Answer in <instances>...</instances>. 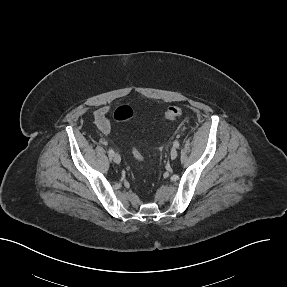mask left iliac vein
Masks as SVG:
<instances>
[{
    "label": "left iliac vein",
    "mask_w": 287,
    "mask_h": 287,
    "mask_svg": "<svg viewBox=\"0 0 287 287\" xmlns=\"http://www.w3.org/2000/svg\"><path fill=\"white\" fill-rule=\"evenodd\" d=\"M170 156H171V159H176V157L178 156V151H177L176 147H173L171 149Z\"/></svg>",
    "instance_id": "obj_1"
}]
</instances>
